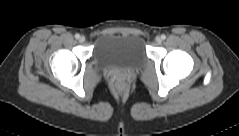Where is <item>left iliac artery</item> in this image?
<instances>
[{"instance_id": "1", "label": "left iliac artery", "mask_w": 239, "mask_h": 136, "mask_svg": "<svg viewBox=\"0 0 239 136\" xmlns=\"http://www.w3.org/2000/svg\"><path fill=\"white\" fill-rule=\"evenodd\" d=\"M161 38H162L163 40H165V39H166V36H165L164 34H162V35H161Z\"/></svg>"}]
</instances>
